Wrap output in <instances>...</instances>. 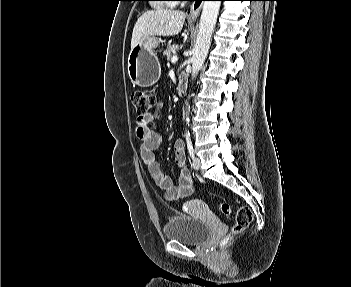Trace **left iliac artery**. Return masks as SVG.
<instances>
[{"label": "left iliac artery", "instance_id": "1", "mask_svg": "<svg viewBox=\"0 0 351 287\" xmlns=\"http://www.w3.org/2000/svg\"><path fill=\"white\" fill-rule=\"evenodd\" d=\"M186 142H187V149L189 152V155L193 158L194 157V149H193V145L190 139V133H186Z\"/></svg>", "mask_w": 351, "mask_h": 287}]
</instances>
